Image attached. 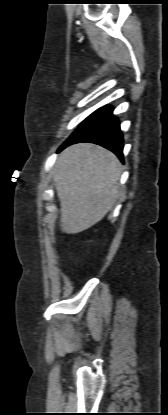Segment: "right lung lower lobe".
Here are the masks:
<instances>
[{"label": "right lung lower lobe", "instance_id": "98d812e1", "mask_svg": "<svg viewBox=\"0 0 168 415\" xmlns=\"http://www.w3.org/2000/svg\"><path fill=\"white\" fill-rule=\"evenodd\" d=\"M112 111L111 106H104L92 113L62 144L59 151L71 144L89 142L111 150L123 161V135Z\"/></svg>", "mask_w": 168, "mask_h": 415}]
</instances>
